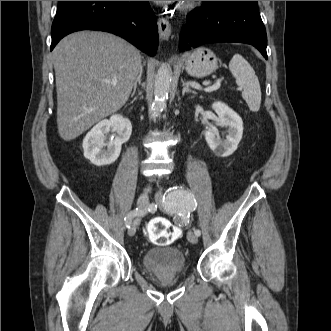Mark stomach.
Masks as SVG:
<instances>
[{"label":"stomach","mask_w":331,"mask_h":331,"mask_svg":"<svg viewBox=\"0 0 331 331\" xmlns=\"http://www.w3.org/2000/svg\"><path fill=\"white\" fill-rule=\"evenodd\" d=\"M216 68L217 58L208 48L199 47L186 56L185 69L193 77H206L214 72Z\"/></svg>","instance_id":"obj_1"}]
</instances>
